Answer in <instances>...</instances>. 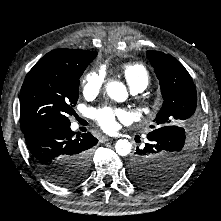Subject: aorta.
Wrapping results in <instances>:
<instances>
[{
  "mask_svg": "<svg viewBox=\"0 0 221 221\" xmlns=\"http://www.w3.org/2000/svg\"><path fill=\"white\" fill-rule=\"evenodd\" d=\"M106 92L110 98L118 102L124 101L128 95L125 86L117 81L108 82ZM131 149L132 144L127 139H119L115 144V150L120 156H127Z\"/></svg>",
  "mask_w": 221,
  "mask_h": 221,
  "instance_id": "aorta-1",
  "label": "aorta"
}]
</instances>
